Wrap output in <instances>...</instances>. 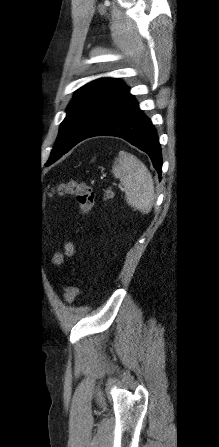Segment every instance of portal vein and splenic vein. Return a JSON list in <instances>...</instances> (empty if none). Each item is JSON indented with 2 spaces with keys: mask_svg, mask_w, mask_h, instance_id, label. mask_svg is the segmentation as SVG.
I'll use <instances>...</instances> for the list:
<instances>
[{
  "mask_svg": "<svg viewBox=\"0 0 219 447\" xmlns=\"http://www.w3.org/2000/svg\"><path fill=\"white\" fill-rule=\"evenodd\" d=\"M119 187L122 189V185H119Z\"/></svg>",
  "mask_w": 219,
  "mask_h": 447,
  "instance_id": "1",
  "label": "portal vein and splenic vein"
}]
</instances>
